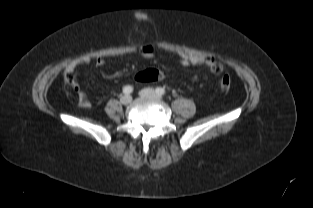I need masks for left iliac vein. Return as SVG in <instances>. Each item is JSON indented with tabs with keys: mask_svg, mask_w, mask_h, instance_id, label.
Here are the masks:
<instances>
[{
	"mask_svg": "<svg viewBox=\"0 0 313 208\" xmlns=\"http://www.w3.org/2000/svg\"><path fill=\"white\" fill-rule=\"evenodd\" d=\"M140 96L148 99H157L160 100L161 96L157 94L153 89L146 88L140 91Z\"/></svg>",
	"mask_w": 313,
	"mask_h": 208,
	"instance_id": "left-iliac-vein-1",
	"label": "left iliac vein"
}]
</instances>
